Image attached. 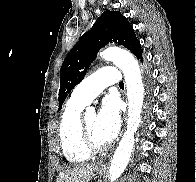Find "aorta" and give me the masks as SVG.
<instances>
[{
    "instance_id": "1",
    "label": "aorta",
    "mask_w": 196,
    "mask_h": 182,
    "mask_svg": "<svg viewBox=\"0 0 196 182\" xmlns=\"http://www.w3.org/2000/svg\"><path fill=\"white\" fill-rule=\"evenodd\" d=\"M100 57L113 61L122 70L127 87V129L113 155L109 169V179L114 182L126 168L134 147V134L141 122L144 86L140 67L131 53L119 48H108L100 53ZM88 111L94 112V108H88Z\"/></svg>"
}]
</instances>
